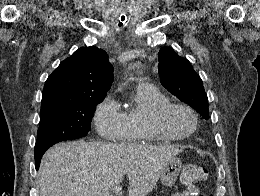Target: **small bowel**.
<instances>
[{
  "mask_svg": "<svg viewBox=\"0 0 260 196\" xmlns=\"http://www.w3.org/2000/svg\"><path fill=\"white\" fill-rule=\"evenodd\" d=\"M173 196H199L198 189L188 188L185 193H175Z\"/></svg>",
  "mask_w": 260,
  "mask_h": 196,
  "instance_id": "1",
  "label": "small bowel"
}]
</instances>
